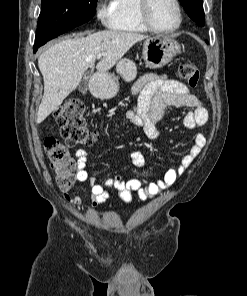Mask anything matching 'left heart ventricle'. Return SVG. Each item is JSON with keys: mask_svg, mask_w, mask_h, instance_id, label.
<instances>
[{"mask_svg": "<svg viewBox=\"0 0 247 296\" xmlns=\"http://www.w3.org/2000/svg\"><path fill=\"white\" fill-rule=\"evenodd\" d=\"M150 17L160 29H170L177 22V12L172 0H151Z\"/></svg>", "mask_w": 247, "mask_h": 296, "instance_id": "obj_1", "label": "left heart ventricle"}]
</instances>
